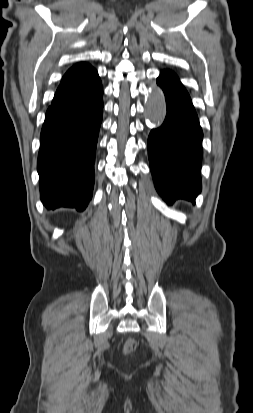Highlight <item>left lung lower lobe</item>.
Returning <instances> with one entry per match:
<instances>
[{"instance_id": "1", "label": "left lung lower lobe", "mask_w": 253, "mask_h": 413, "mask_svg": "<svg viewBox=\"0 0 253 413\" xmlns=\"http://www.w3.org/2000/svg\"><path fill=\"white\" fill-rule=\"evenodd\" d=\"M167 114L163 124L148 137V156L155 188L173 204L177 199L195 201L201 192L202 129L191 98L177 75L162 71L157 78Z\"/></svg>"}]
</instances>
